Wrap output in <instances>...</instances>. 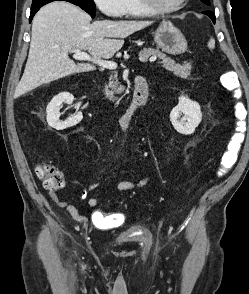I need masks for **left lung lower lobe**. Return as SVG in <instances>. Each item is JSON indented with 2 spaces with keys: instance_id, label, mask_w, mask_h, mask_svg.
I'll return each instance as SVG.
<instances>
[{
  "instance_id": "1",
  "label": "left lung lower lobe",
  "mask_w": 249,
  "mask_h": 294,
  "mask_svg": "<svg viewBox=\"0 0 249 294\" xmlns=\"http://www.w3.org/2000/svg\"><path fill=\"white\" fill-rule=\"evenodd\" d=\"M204 14L208 15L212 19L213 23H215L216 18H215V14L213 12L206 11V12H204Z\"/></svg>"
}]
</instances>
